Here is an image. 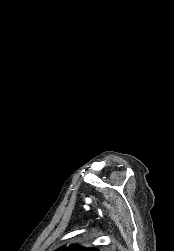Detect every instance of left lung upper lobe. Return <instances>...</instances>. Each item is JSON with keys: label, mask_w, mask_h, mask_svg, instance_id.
<instances>
[{"label": "left lung upper lobe", "mask_w": 174, "mask_h": 251, "mask_svg": "<svg viewBox=\"0 0 174 251\" xmlns=\"http://www.w3.org/2000/svg\"><path fill=\"white\" fill-rule=\"evenodd\" d=\"M55 251H99L97 248H84L79 245H71L70 247L62 246Z\"/></svg>", "instance_id": "left-lung-upper-lobe-1"}]
</instances>
